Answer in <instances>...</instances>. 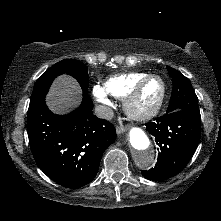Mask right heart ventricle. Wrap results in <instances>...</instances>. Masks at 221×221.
Returning a JSON list of instances; mask_svg holds the SVG:
<instances>
[{
    "label": "right heart ventricle",
    "mask_w": 221,
    "mask_h": 221,
    "mask_svg": "<svg viewBox=\"0 0 221 221\" xmlns=\"http://www.w3.org/2000/svg\"><path fill=\"white\" fill-rule=\"evenodd\" d=\"M149 75L145 72H131L115 75L104 83L105 91L119 99L125 98L134 86L144 77Z\"/></svg>",
    "instance_id": "right-heart-ventricle-1"
}]
</instances>
